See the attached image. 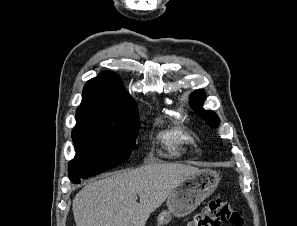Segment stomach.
I'll return each mask as SVG.
<instances>
[{
  "label": "stomach",
  "mask_w": 297,
  "mask_h": 226,
  "mask_svg": "<svg viewBox=\"0 0 297 226\" xmlns=\"http://www.w3.org/2000/svg\"><path fill=\"white\" fill-rule=\"evenodd\" d=\"M219 175L210 169H201L192 176L181 180L167 198V211H162L158 226H163L174 217H184L192 213L198 205L210 196L218 186Z\"/></svg>",
  "instance_id": "obj_1"
}]
</instances>
